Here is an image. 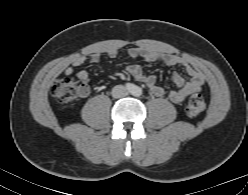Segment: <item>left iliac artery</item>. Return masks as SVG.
<instances>
[{
	"instance_id": "44dca946",
	"label": "left iliac artery",
	"mask_w": 248,
	"mask_h": 195,
	"mask_svg": "<svg viewBox=\"0 0 248 195\" xmlns=\"http://www.w3.org/2000/svg\"><path fill=\"white\" fill-rule=\"evenodd\" d=\"M135 93H136L137 95H139V94L141 93L140 89H136V90H135Z\"/></svg>"
}]
</instances>
